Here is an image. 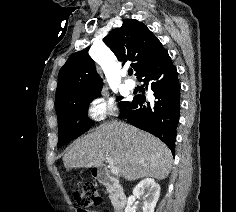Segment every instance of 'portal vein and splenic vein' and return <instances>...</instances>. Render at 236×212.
<instances>
[{"label":"portal vein and splenic vein","instance_id":"obj_1","mask_svg":"<svg viewBox=\"0 0 236 212\" xmlns=\"http://www.w3.org/2000/svg\"><path fill=\"white\" fill-rule=\"evenodd\" d=\"M107 162L110 165V170L113 175H118L119 174V168L113 165V160L110 156L106 157Z\"/></svg>","mask_w":236,"mask_h":212}]
</instances>
